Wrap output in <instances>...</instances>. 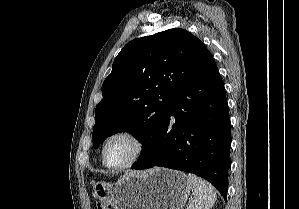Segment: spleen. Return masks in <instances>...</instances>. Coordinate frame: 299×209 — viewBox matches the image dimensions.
Returning a JSON list of instances; mask_svg holds the SVG:
<instances>
[{
  "label": "spleen",
  "mask_w": 299,
  "mask_h": 209,
  "mask_svg": "<svg viewBox=\"0 0 299 209\" xmlns=\"http://www.w3.org/2000/svg\"><path fill=\"white\" fill-rule=\"evenodd\" d=\"M187 178L193 192L187 209H211L217 198L213 186L209 182L191 173L188 174Z\"/></svg>",
  "instance_id": "spleen-1"
}]
</instances>
